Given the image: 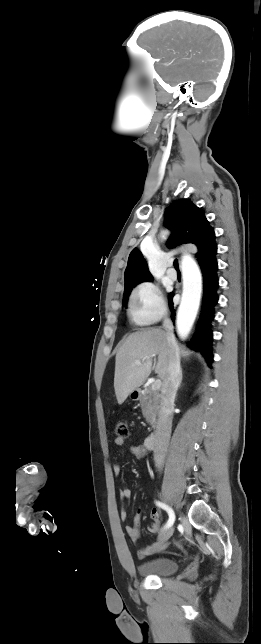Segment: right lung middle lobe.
I'll return each mask as SVG.
<instances>
[{
    "mask_svg": "<svg viewBox=\"0 0 261 644\" xmlns=\"http://www.w3.org/2000/svg\"><path fill=\"white\" fill-rule=\"evenodd\" d=\"M137 284H138V283L133 284V285H131L129 288H127V289H125V290H124V295H123V305H124L125 307H126V305H127L128 297H129V295H130V292H131L132 288H133L134 286H136ZM170 295H171V294H170ZM170 295H169V296H170Z\"/></svg>",
    "mask_w": 261,
    "mask_h": 644,
    "instance_id": "obj_1",
    "label": "right lung middle lobe"
}]
</instances>
